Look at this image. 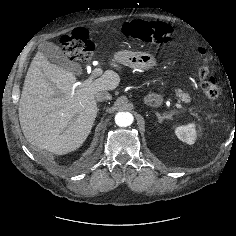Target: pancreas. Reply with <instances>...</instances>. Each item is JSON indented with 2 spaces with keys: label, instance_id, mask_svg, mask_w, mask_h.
Segmentation results:
<instances>
[{
  "label": "pancreas",
  "instance_id": "cf45deb5",
  "mask_svg": "<svg viewBox=\"0 0 236 236\" xmlns=\"http://www.w3.org/2000/svg\"><path fill=\"white\" fill-rule=\"evenodd\" d=\"M177 96L180 97V99L184 102H189L191 99L189 94L186 92H183L181 89L177 91Z\"/></svg>",
  "mask_w": 236,
  "mask_h": 236
}]
</instances>
